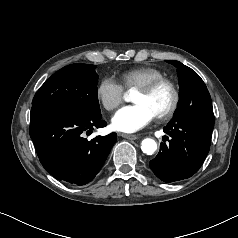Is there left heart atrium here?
Here are the masks:
<instances>
[{"mask_svg": "<svg viewBox=\"0 0 238 238\" xmlns=\"http://www.w3.org/2000/svg\"><path fill=\"white\" fill-rule=\"evenodd\" d=\"M155 117L149 106L136 103L119 109L112 118V126L117 131L133 133L147 126Z\"/></svg>", "mask_w": 238, "mask_h": 238, "instance_id": "left-heart-atrium-1", "label": "left heart atrium"}]
</instances>
